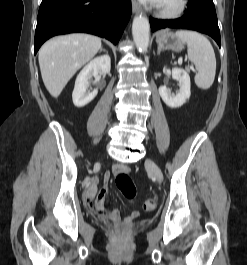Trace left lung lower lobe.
Listing matches in <instances>:
<instances>
[{
	"label": "left lung lower lobe",
	"mask_w": 247,
	"mask_h": 265,
	"mask_svg": "<svg viewBox=\"0 0 247 265\" xmlns=\"http://www.w3.org/2000/svg\"><path fill=\"white\" fill-rule=\"evenodd\" d=\"M151 30L161 28H185L196 30L211 36L221 46L220 31L215 6L212 0H189L185 15L175 20L150 18Z\"/></svg>",
	"instance_id": "0a47b994"
}]
</instances>
